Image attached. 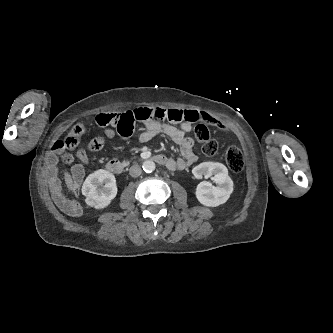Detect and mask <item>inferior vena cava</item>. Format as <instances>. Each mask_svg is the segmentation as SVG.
I'll use <instances>...</instances> for the list:
<instances>
[{
    "instance_id": "1",
    "label": "inferior vena cava",
    "mask_w": 333,
    "mask_h": 333,
    "mask_svg": "<svg viewBox=\"0 0 333 333\" xmlns=\"http://www.w3.org/2000/svg\"><path fill=\"white\" fill-rule=\"evenodd\" d=\"M129 173L132 177H138L142 173V169L139 165H133L130 167Z\"/></svg>"
}]
</instances>
